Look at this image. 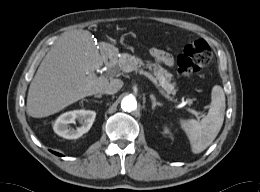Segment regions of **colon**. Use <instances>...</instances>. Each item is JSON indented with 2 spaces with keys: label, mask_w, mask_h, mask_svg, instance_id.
<instances>
[{
  "label": "colon",
  "mask_w": 260,
  "mask_h": 192,
  "mask_svg": "<svg viewBox=\"0 0 260 192\" xmlns=\"http://www.w3.org/2000/svg\"><path fill=\"white\" fill-rule=\"evenodd\" d=\"M212 57L208 43L202 39L189 43L177 59L178 70L181 75L190 77L203 66L207 65Z\"/></svg>",
  "instance_id": "5ec220e1"
}]
</instances>
